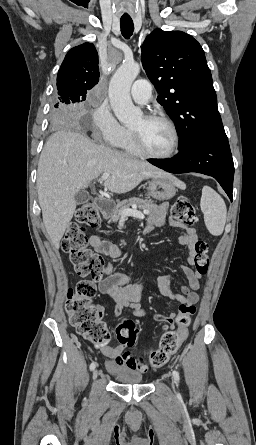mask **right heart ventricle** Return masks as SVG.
<instances>
[{"mask_svg":"<svg viewBox=\"0 0 256 445\" xmlns=\"http://www.w3.org/2000/svg\"><path fill=\"white\" fill-rule=\"evenodd\" d=\"M115 146H119L121 149H123L128 154H131V155H138L139 154V152L136 150V148H135V146L133 144L130 131H128L126 129H125L124 136L122 137L120 142L117 145H115Z\"/></svg>","mask_w":256,"mask_h":445,"instance_id":"right-heart-ventricle-1","label":"right heart ventricle"}]
</instances>
